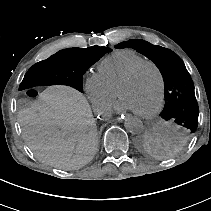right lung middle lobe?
Segmentation results:
<instances>
[{"label": "right lung middle lobe", "instance_id": "1", "mask_svg": "<svg viewBox=\"0 0 211 211\" xmlns=\"http://www.w3.org/2000/svg\"><path fill=\"white\" fill-rule=\"evenodd\" d=\"M110 48L92 46L61 50L34 64L24 77L26 88L44 85H69L83 91V74Z\"/></svg>", "mask_w": 211, "mask_h": 211}]
</instances>
